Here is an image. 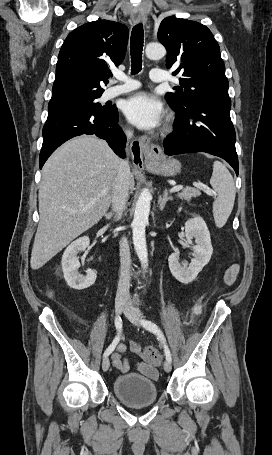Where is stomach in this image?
<instances>
[{"instance_id": "stomach-1", "label": "stomach", "mask_w": 272, "mask_h": 455, "mask_svg": "<svg viewBox=\"0 0 272 455\" xmlns=\"http://www.w3.org/2000/svg\"><path fill=\"white\" fill-rule=\"evenodd\" d=\"M147 169L163 176H175L181 171V163L174 158H156L147 162Z\"/></svg>"}]
</instances>
